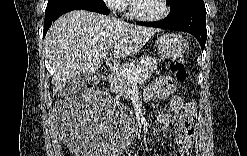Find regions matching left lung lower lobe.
Returning a JSON list of instances; mask_svg holds the SVG:
<instances>
[{"mask_svg": "<svg viewBox=\"0 0 247 156\" xmlns=\"http://www.w3.org/2000/svg\"><path fill=\"white\" fill-rule=\"evenodd\" d=\"M138 25L184 31L192 34L203 51L207 40L206 9L203 0H189L181 10L158 22H136Z\"/></svg>", "mask_w": 247, "mask_h": 156, "instance_id": "obj_1", "label": "left lung lower lobe"}]
</instances>
